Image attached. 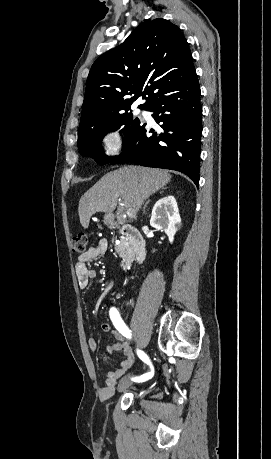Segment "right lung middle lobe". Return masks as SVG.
<instances>
[{
  "mask_svg": "<svg viewBox=\"0 0 271 459\" xmlns=\"http://www.w3.org/2000/svg\"><path fill=\"white\" fill-rule=\"evenodd\" d=\"M146 110V106H139ZM139 118H134L132 113L123 112L120 114L96 117L80 122L78 131V149L83 156L92 157L99 164H108L113 157L104 154L101 148V140L110 131L124 126L122 132L126 138L124 143L140 127Z\"/></svg>",
  "mask_w": 271,
  "mask_h": 459,
  "instance_id": "1",
  "label": "right lung middle lobe"
}]
</instances>
